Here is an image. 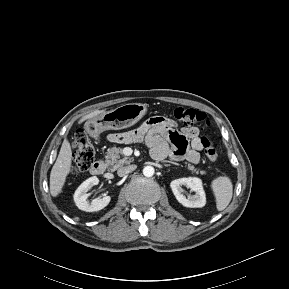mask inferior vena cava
Segmentation results:
<instances>
[{"instance_id":"602c4592","label":"inferior vena cava","mask_w":289,"mask_h":289,"mask_svg":"<svg viewBox=\"0 0 289 289\" xmlns=\"http://www.w3.org/2000/svg\"><path fill=\"white\" fill-rule=\"evenodd\" d=\"M136 169V165H129L126 167H121L118 169L117 174L120 177H123Z\"/></svg>"}]
</instances>
